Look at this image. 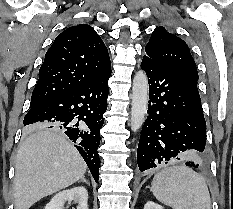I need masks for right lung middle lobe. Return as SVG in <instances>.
<instances>
[{"instance_id": "dd1d6c3e", "label": "right lung middle lobe", "mask_w": 233, "mask_h": 209, "mask_svg": "<svg viewBox=\"0 0 233 209\" xmlns=\"http://www.w3.org/2000/svg\"><path fill=\"white\" fill-rule=\"evenodd\" d=\"M36 105H33V104H30V107H34ZM37 127H45V128H55L53 125L51 124H39V125H36V126H32V127H28V129L30 130H34L35 128Z\"/></svg>"}]
</instances>
